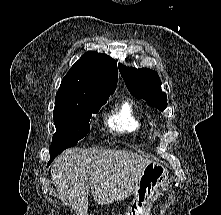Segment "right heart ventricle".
Listing matches in <instances>:
<instances>
[{
  "label": "right heart ventricle",
  "instance_id": "1",
  "mask_svg": "<svg viewBox=\"0 0 221 215\" xmlns=\"http://www.w3.org/2000/svg\"><path fill=\"white\" fill-rule=\"evenodd\" d=\"M106 125L116 134L141 135L147 131L146 121L128 100L120 102L114 108L106 119Z\"/></svg>",
  "mask_w": 221,
  "mask_h": 215
}]
</instances>
